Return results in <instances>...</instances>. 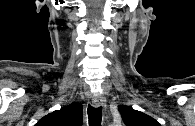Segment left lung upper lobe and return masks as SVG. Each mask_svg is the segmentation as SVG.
<instances>
[{
	"label": "left lung upper lobe",
	"mask_w": 195,
	"mask_h": 126,
	"mask_svg": "<svg viewBox=\"0 0 195 126\" xmlns=\"http://www.w3.org/2000/svg\"><path fill=\"white\" fill-rule=\"evenodd\" d=\"M118 108L126 126H160L152 117L129 106L119 105Z\"/></svg>",
	"instance_id": "left-lung-upper-lobe-1"
}]
</instances>
